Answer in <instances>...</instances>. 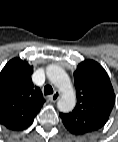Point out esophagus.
<instances>
[{"label":"esophagus","instance_id":"esophagus-1","mask_svg":"<svg viewBox=\"0 0 118 142\" xmlns=\"http://www.w3.org/2000/svg\"><path fill=\"white\" fill-rule=\"evenodd\" d=\"M59 98H60V92L56 91L54 94H52V95L49 97V100H50L51 102H56Z\"/></svg>","mask_w":118,"mask_h":142}]
</instances>
